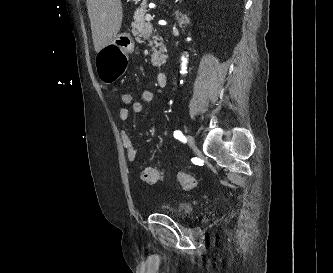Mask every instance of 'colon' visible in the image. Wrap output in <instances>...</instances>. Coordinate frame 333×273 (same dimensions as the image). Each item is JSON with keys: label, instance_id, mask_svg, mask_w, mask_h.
Masks as SVG:
<instances>
[{"label": "colon", "instance_id": "1", "mask_svg": "<svg viewBox=\"0 0 333 273\" xmlns=\"http://www.w3.org/2000/svg\"><path fill=\"white\" fill-rule=\"evenodd\" d=\"M119 101L122 104L129 105L133 102V97L130 93L124 92L119 95ZM141 178L144 182L155 185L163 180V175L159 170L147 167L141 171ZM176 180L184 190L193 189L197 183L193 176L184 172L177 173Z\"/></svg>", "mask_w": 333, "mask_h": 273}]
</instances>
